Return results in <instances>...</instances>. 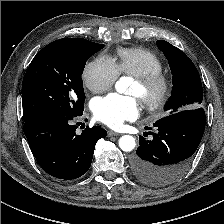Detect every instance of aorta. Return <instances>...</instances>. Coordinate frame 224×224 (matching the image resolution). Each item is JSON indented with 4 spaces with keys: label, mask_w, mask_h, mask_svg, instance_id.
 <instances>
[{
    "label": "aorta",
    "mask_w": 224,
    "mask_h": 224,
    "mask_svg": "<svg viewBox=\"0 0 224 224\" xmlns=\"http://www.w3.org/2000/svg\"><path fill=\"white\" fill-rule=\"evenodd\" d=\"M128 79L126 77H121L115 84L117 92L124 93L126 91V86L128 85ZM136 146L135 138L131 135H124L119 139V147L125 152L132 151Z\"/></svg>",
    "instance_id": "1"
}]
</instances>
